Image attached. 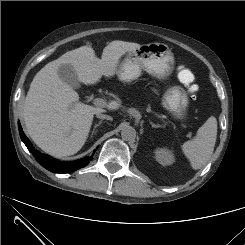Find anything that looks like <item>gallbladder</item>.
Wrapping results in <instances>:
<instances>
[{
  "mask_svg": "<svg viewBox=\"0 0 245 245\" xmlns=\"http://www.w3.org/2000/svg\"><path fill=\"white\" fill-rule=\"evenodd\" d=\"M58 76L63 82L67 83L71 87L73 88L80 87V82L78 80V77L70 65L68 64L61 65L58 69Z\"/></svg>",
  "mask_w": 245,
  "mask_h": 245,
  "instance_id": "1",
  "label": "gallbladder"
}]
</instances>
